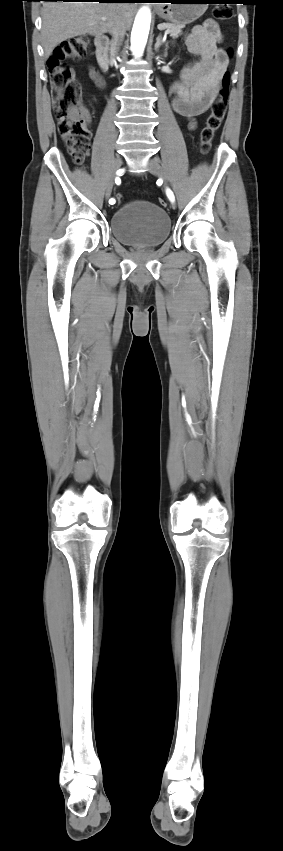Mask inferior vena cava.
<instances>
[{
  "label": "inferior vena cava",
  "instance_id": "1",
  "mask_svg": "<svg viewBox=\"0 0 283 851\" xmlns=\"http://www.w3.org/2000/svg\"><path fill=\"white\" fill-rule=\"evenodd\" d=\"M111 33H112V43H111L110 54H111V59L114 60L116 55L118 54V51L120 49L122 42H123L126 30L122 25H117L112 29Z\"/></svg>",
  "mask_w": 283,
  "mask_h": 851
}]
</instances>
